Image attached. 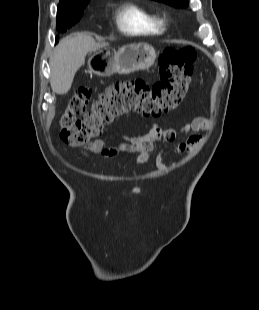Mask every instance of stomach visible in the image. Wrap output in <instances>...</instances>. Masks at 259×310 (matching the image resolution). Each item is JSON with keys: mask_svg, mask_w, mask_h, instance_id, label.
<instances>
[{"mask_svg": "<svg viewBox=\"0 0 259 310\" xmlns=\"http://www.w3.org/2000/svg\"><path fill=\"white\" fill-rule=\"evenodd\" d=\"M156 60V52L147 43H135L121 47L118 51L103 47L94 51L88 61L90 71L107 77L114 73L129 74L148 69Z\"/></svg>", "mask_w": 259, "mask_h": 310, "instance_id": "0dacf381", "label": "stomach"}]
</instances>
